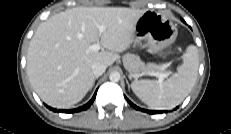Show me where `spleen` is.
<instances>
[{"instance_id":"spleen-1","label":"spleen","mask_w":231,"mask_h":134,"mask_svg":"<svg viewBox=\"0 0 231 134\" xmlns=\"http://www.w3.org/2000/svg\"><path fill=\"white\" fill-rule=\"evenodd\" d=\"M198 49L189 45L177 73L165 80H138L131 83L136 96L155 110L172 109L179 105L194 87L198 76Z\"/></svg>"}]
</instances>
